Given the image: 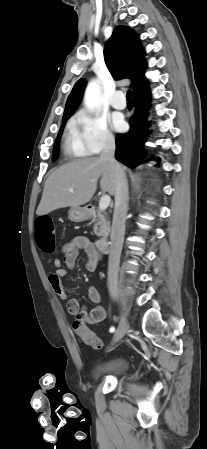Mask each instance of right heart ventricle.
Instances as JSON below:
<instances>
[{"mask_svg": "<svg viewBox=\"0 0 207 449\" xmlns=\"http://www.w3.org/2000/svg\"><path fill=\"white\" fill-rule=\"evenodd\" d=\"M64 154L70 158L84 157L88 154L77 133L74 121H70L63 144Z\"/></svg>", "mask_w": 207, "mask_h": 449, "instance_id": "1", "label": "right heart ventricle"}]
</instances>
